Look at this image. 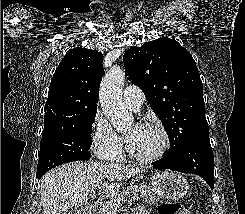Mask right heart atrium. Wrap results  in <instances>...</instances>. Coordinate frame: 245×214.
I'll return each mask as SVG.
<instances>
[{
	"label": "right heart atrium",
	"instance_id": "1",
	"mask_svg": "<svg viewBox=\"0 0 245 214\" xmlns=\"http://www.w3.org/2000/svg\"><path fill=\"white\" fill-rule=\"evenodd\" d=\"M92 149L103 160L116 159L122 148V141L109 121L97 113L91 124Z\"/></svg>",
	"mask_w": 245,
	"mask_h": 214
}]
</instances>
